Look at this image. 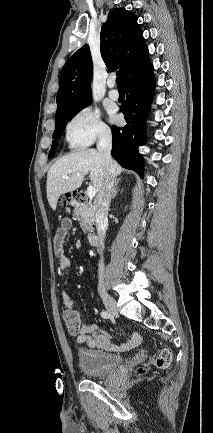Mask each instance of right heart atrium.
<instances>
[{"mask_svg": "<svg viewBox=\"0 0 213 433\" xmlns=\"http://www.w3.org/2000/svg\"><path fill=\"white\" fill-rule=\"evenodd\" d=\"M109 137V128L102 122L100 113L91 107L82 108L66 125V138L73 148H84L97 139Z\"/></svg>", "mask_w": 213, "mask_h": 433, "instance_id": "obj_1", "label": "right heart atrium"}]
</instances>
